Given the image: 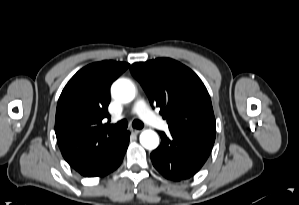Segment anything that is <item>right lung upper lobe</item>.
<instances>
[{"mask_svg": "<svg viewBox=\"0 0 299 205\" xmlns=\"http://www.w3.org/2000/svg\"><path fill=\"white\" fill-rule=\"evenodd\" d=\"M128 63L102 61L79 70L63 89L57 104L55 133L64 159L79 173L114 147L121 134L108 132L109 89Z\"/></svg>", "mask_w": 299, "mask_h": 205, "instance_id": "cb5924a9", "label": "right lung upper lobe"}]
</instances>
